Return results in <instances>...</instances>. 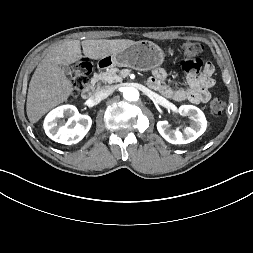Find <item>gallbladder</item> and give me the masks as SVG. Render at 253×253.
<instances>
[{"mask_svg": "<svg viewBox=\"0 0 253 253\" xmlns=\"http://www.w3.org/2000/svg\"><path fill=\"white\" fill-rule=\"evenodd\" d=\"M62 71L66 74V75H71L72 71L70 69V67L68 65H62L61 66Z\"/></svg>", "mask_w": 253, "mask_h": 253, "instance_id": "bac80fb5", "label": "gallbladder"}]
</instances>
